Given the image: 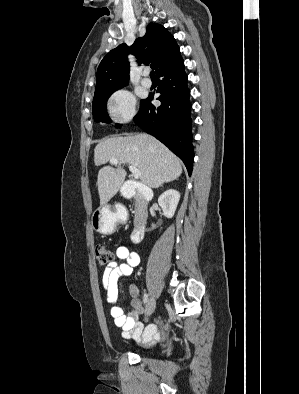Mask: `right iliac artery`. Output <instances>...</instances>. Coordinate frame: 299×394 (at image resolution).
<instances>
[{
  "instance_id": "1",
  "label": "right iliac artery",
  "mask_w": 299,
  "mask_h": 394,
  "mask_svg": "<svg viewBox=\"0 0 299 394\" xmlns=\"http://www.w3.org/2000/svg\"><path fill=\"white\" fill-rule=\"evenodd\" d=\"M147 302H148V294L145 293L143 296V303L146 304ZM151 325H153V324H151Z\"/></svg>"
}]
</instances>
